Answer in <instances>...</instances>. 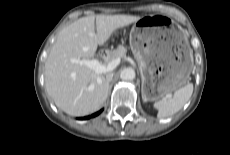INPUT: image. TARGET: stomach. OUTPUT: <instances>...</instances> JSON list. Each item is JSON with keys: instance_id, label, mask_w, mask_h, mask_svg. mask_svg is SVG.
Returning <instances> with one entry per match:
<instances>
[{"instance_id": "obj_1", "label": "stomach", "mask_w": 230, "mask_h": 155, "mask_svg": "<svg viewBox=\"0 0 230 155\" xmlns=\"http://www.w3.org/2000/svg\"><path fill=\"white\" fill-rule=\"evenodd\" d=\"M130 47L142 78V97L158 101L185 85L193 68V51L184 30L164 15L134 22Z\"/></svg>"}]
</instances>
